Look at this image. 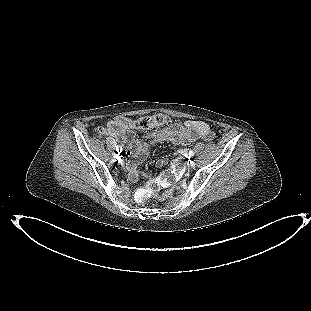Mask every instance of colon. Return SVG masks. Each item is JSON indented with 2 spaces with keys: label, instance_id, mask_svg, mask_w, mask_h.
<instances>
[{
  "label": "colon",
  "instance_id": "5ec220e1",
  "mask_svg": "<svg viewBox=\"0 0 311 311\" xmlns=\"http://www.w3.org/2000/svg\"><path fill=\"white\" fill-rule=\"evenodd\" d=\"M169 122V117L164 114H154L151 116L142 117L136 121V125L143 129H150L165 125ZM118 128L117 122L114 121L109 128H98L97 134L99 136L105 135L109 130H116ZM178 165L174 164L171 169L162 172L155 178L150 179L146 184L140 188L135 195L137 202L145 203L150 198L155 197L158 192L170 185L178 174Z\"/></svg>",
  "mask_w": 311,
  "mask_h": 311
}]
</instances>
